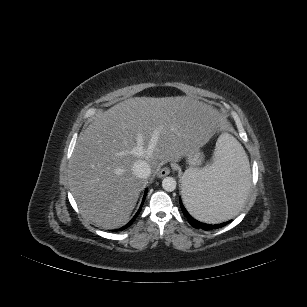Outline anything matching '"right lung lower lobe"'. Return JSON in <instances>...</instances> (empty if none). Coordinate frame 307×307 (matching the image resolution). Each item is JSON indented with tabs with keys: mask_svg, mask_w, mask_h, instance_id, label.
Here are the masks:
<instances>
[{
	"mask_svg": "<svg viewBox=\"0 0 307 307\" xmlns=\"http://www.w3.org/2000/svg\"><path fill=\"white\" fill-rule=\"evenodd\" d=\"M146 193H147V190H145L142 204H141L139 210L137 211V213L135 214V216H134L124 227L120 228L119 230H124V229H126L127 227H129V226L134 222L135 218L138 216V214H139L140 211H141L142 205H143V203H144V201H145ZM114 231H116V230H114Z\"/></svg>",
	"mask_w": 307,
	"mask_h": 307,
	"instance_id": "1",
	"label": "right lung lower lobe"
}]
</instances>
